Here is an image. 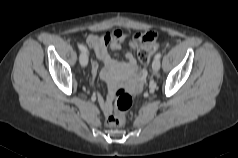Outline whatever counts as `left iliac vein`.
<instances>
[{
    "mask_svg": "<svg viewBox=\"0 0 238 158\" xmlns=\"http://www.w3.org/2000/svg\"><path fill=\"white\" fill-rule=\"evenodd\" d=\"M160 60L159 59H154L153 62H152V70L153 72H158L159 69H160Z\"/></svg>",
    "mask_w": 238,
    "mask_h": 158,
    "instance_id": "left-iliac-vein-1",
    "label": "left iliac vein"
}]
</instances>
